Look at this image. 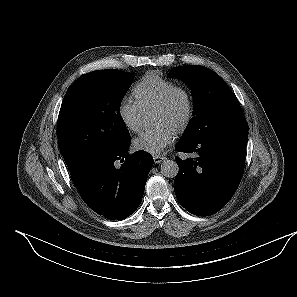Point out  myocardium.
<instances>
[{
	"label": "myocardium",
	"instance_id": "f54148a6",
	"mask_svg": "<svg viewBox=\"0 0 297 297\" xmlns=\"http://www.w3.org/2000/svg\"><path fill=\"white\" fill-rule=\"evenodd\" d=\"M177 99L182 100V111L174 121V128L183 131L190 124L194 114V101L189 90L183 86L175 85L156 104V108L171 112L174 110Z\"/></svg>",
	"mask_w": 297,
	"mask_h": 297
}]
</instances>
